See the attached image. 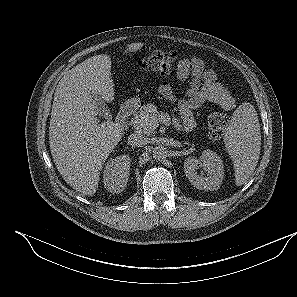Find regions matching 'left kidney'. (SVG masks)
<instances>
[{
  "label": "left kidney",
  "mask_w": 297,
  "mask_h": 297,
  "mask_svg": "<svg viewBox=\"0 0 297 297\" xmlns=\"http://www.w3.org/2000/svg\"><path fill=\"white\" fill-rule=\"evenodd\" d=\"M199 166L200 161L197 158L189 157L184 161V172L191 184L199 190H217L224 176L220 157L209 149L204 150L201 166L207 175L197 173Z\"/></svg>",
  "instance_id": "1"
}]
</instances>
